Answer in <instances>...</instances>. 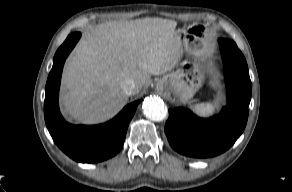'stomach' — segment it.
<instances>
[{
    "label": "stomach",
    "mask_w": 292,
    "mask_h": 192,
    "mask_svg": "<svg viewBox=\"0 0 292 192\" xmlns=\"http://www.w3.org/2000/svg\"><path fill=\"white\" fill-rule=\"evenodd\" d=\"M182 33L184 50L191 59L182 61L176 71L164 75L157 82L156 90L167 97L185 102L190 100L204 83V62L209 54V45L201 26L188 27Z\"/></svg>",
    "instance_id": "obj_1"
}]
</instances>
